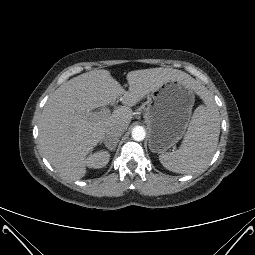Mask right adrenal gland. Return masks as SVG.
<instances>
[{
	"label": "right adrenal gland",
	"mask_w": 255,
	"mask_h": 255,
	"mask_svg": "<svg viewBox=\"0 0 255 255\" xmlns=\"http://www.w3.org/2000/svg\"><path fill=\"white\" fill-rule=\"evenodd\" d=\"M102 143L105 144L104 141H101V142H100V145H101ZM117 143H118V142H116L113 146H108V145H106V144H105V146H106V148H107L108 150H110V151H115L116 146H117Z\"/></svg>",
	"instance_id": "2a0ac1e0"
}]
</instances>
